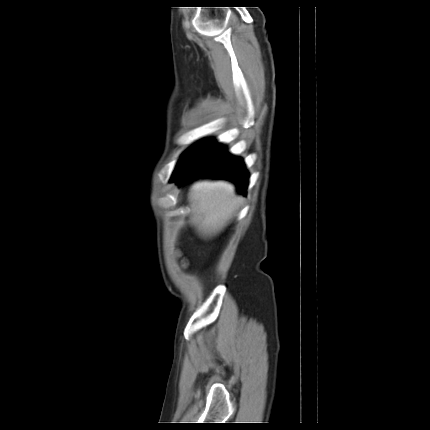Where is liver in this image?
<instances>
[{
    "instance_id": "6515ba94",
    "label": "liver",
    "mask_w": 430,
    "mask_h": 430,
    "mask_svg": "<svg viewBox=\"0 0 430 430\" xmlns=\"http://www.w3.org/2000/svg\"><path fill=\"white\" fill-rule=\"evenodd\" d=\"M194 204V221L203 234L215 233L229 222L238 209L240 196L225 181H201L190 196Z\"/></svg>"
}]
</instances>
